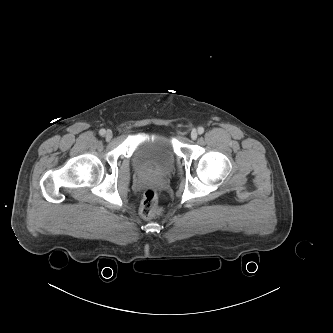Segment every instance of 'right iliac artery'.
I'll return each mask as SVG.
<instances>
[{
  "label": "right iliac artery",
  "mask_w": 333,
  "mask_h": 333,
  "mask_svg": "<svg viewBox=\"0 0 333 333\" xmlns=\"http://www.w3.org/2000/svg\"><path fill=\"white\" fill-rule=\"evenodd\" d=\"M105 133H106L105 129H101V130L99 131V134H100L101 136H104Z\"/></svg>",
  "instance_id": "obj_1"
}]
</instances>
